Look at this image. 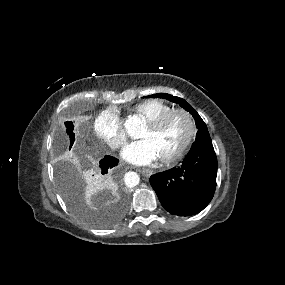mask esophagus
<instances>
[{"mask_svg": "<svg viewBox=\"0 0 285 285\" xmlns=\"http://www.w3.org/2000/svg\"><path fill=\"white\" fill-rule=\"evenodd\" d=\"M139 172H141L146 177H149L153 173L152 170L147 169V168H141V169H139Z\"/></svg>", "mask_w": 285, "mask_h": 285, "instance_id": "1", "label": "esophagus"}]
</instances>
